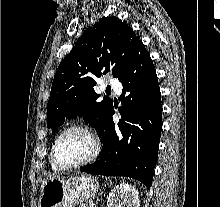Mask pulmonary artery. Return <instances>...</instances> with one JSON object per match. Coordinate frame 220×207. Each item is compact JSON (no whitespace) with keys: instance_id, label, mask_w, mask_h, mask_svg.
<instances>
[{"instance_id":"obj_1","label":"pulmonary artery","mask_w":220,"mask_h":207,"mask_svg":"<svg viewBox=\"0 0 220 207\" xmlns=\"http://www.w3.org/2000/svg\"><path fill=\"white\" fill-rule=\"evenodd\" d=\"M108 86L112 88L116 93L120 94L122 86L117 79H110L108 81Z\"/></svg>"}]
</instances>
